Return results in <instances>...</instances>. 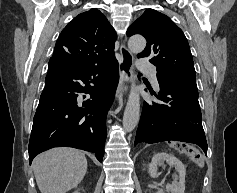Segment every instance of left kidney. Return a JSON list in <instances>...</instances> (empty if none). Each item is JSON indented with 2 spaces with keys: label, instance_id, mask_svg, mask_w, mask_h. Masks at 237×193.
<instances>
[{
  "label": "left kidney",
  "instance_id": "5707ae66",
  "mask_svg": "<svg viewBox=\"0 0 237 193\" xmlns=\"http://www.w3.org/2000/svg\"><path fill=\"white\" fill-rule=\"evenodd\" d=\"M166 161L170 167H175L179 176L172 182V184L166 185V190L171 193H184L185 191V175L186 169L184 164L175 156L161 152L153 156L151 163L149 164V174L151 177H158L157 168ZM156 193H165L163 189H159Z\"/></svg>",
  "mask_w": 237,
  "mask_h": 193
}]
</instances>
